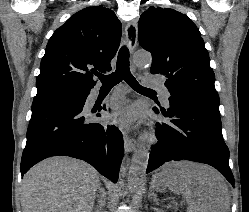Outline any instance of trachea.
<instances>
[{
	"label": "trachea",
	"instance_id": "1",
	"mask_svg": "<svg viewBox=\"0 0 249 212\" xmlns=\"http://www.w3.org/2000/svg\"><path fill=\"white\" fill-rule=\"evenodd\" d=\"M99 79L102 82L101 88H112L119 82L124 80L134 90H150L151 88L142 87L137 80L133 77L129 68V51L128 48L122 47L119 51L117 58L116 70L110 75L98 74Z\"/></svg>",
	"mask_w": 249,
	"mask_h": 212
}]
</instances>
